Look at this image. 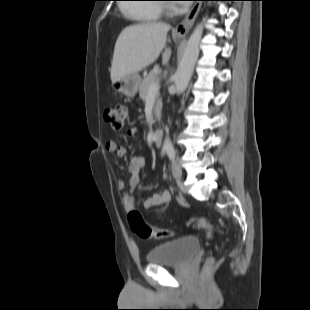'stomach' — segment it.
<instances>
[{"label":"stomach","mask_w":310,"mask_h":310,"mask_svg":"<svg viewBox=\"0 0 310 310\" xmlns=\"http://www.w3.org/2000/svg\"><path fill=\"white\" fill-rule=\"evenodd\" d=\"M141 84V78L138 75H127L121 79L112 82V88L127 97H134Z\"/></svg>","instance_id":"stomach-1"}]
</instances>
